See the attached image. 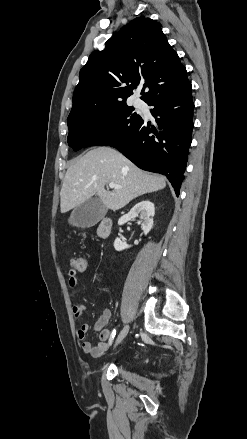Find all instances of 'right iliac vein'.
Masks as SVG:
<instances>
[{
	"label": "right iliac vein",
	"mask_w": 247,
	"mask_h": 439,
	"mask_svg": "<svg viewBox=\"0 0 247 439\" xmlns=\"http://www.w3.org/2000/svg\"><path fill=\"white\" fill-rule=\"evenodd\" d=\"M129 329H130L129 325H125V326H124V328L122 329V331L120 332V334H119V336H118V338H117V340H116V343H115L114 347L118 346V345L121 343V341H122V340L126 337V335L128 334Z\"/></svg>",
	"instance_id": "right-iliac-vein-1"
}]
</instances>
